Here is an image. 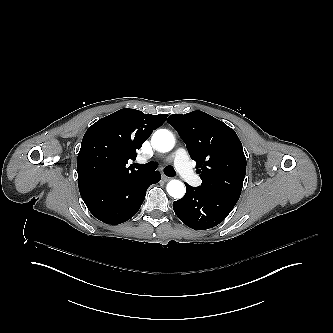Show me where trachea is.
Wrapping results in <instances>:
<instances>
[{
    "mask_svg": "<svg viewBox=\"0 0 333 333\" xmlns=\"http://www.w3.org/2000/svg\"><path fill=\"white\" fill-rule=\"evenodd\" d=\"M135 167L141 171L152 172L157 169V164L154 162H149L144 165H140V164L136 163ZM163 171H164L165 175H167L168 177H174L176 174V172L172 166H166V168H164Z\"/></svg>",
    "mask_w": 333,
    "mask_h": 333,
    "instance_id": "3493384b",
    "label": "trachea"
}]
</instances>
